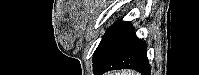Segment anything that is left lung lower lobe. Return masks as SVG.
<instances>
[{
  "instance_id": "1",
  "label": "left lung lower lobe",
  "mask_w": 199,
  "mask_h": 75,
  "mask_svg": "<svg viewBox=\"0 0 199 75\" xmlns=\"http://www.w3.org/2000/svg\"><path fill=\"white\" fill-rule=\"evenodd\" d=\"M115 69H134L142 75H150L147 45L136 36L128 21L114 23L102 37L93 55L94 75Z\"/></svg>"
}]
</instances>
